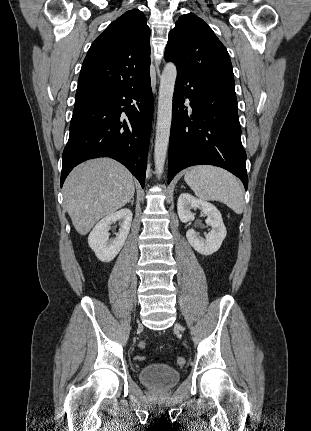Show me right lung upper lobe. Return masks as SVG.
I'll list each match as a JSON object with an SVG mask.
<instances>
[{
	"label": "right lung upper lobe",
	"instance_id": "obj_1",
	"mask_svg": "<svg viewBox=\"0 0 311 431\" xmlns=\"http://www.w3.org/2000/svg\"><path fill=\"white\" fill-rule=\"evenodd\" d=\"M143 12L127 11L92 43L82 64L76 97L117 89L150 70V29Z\"/></svg>",
	"mask_w": 311,
	"mask_h": 431
}]
</instances>
